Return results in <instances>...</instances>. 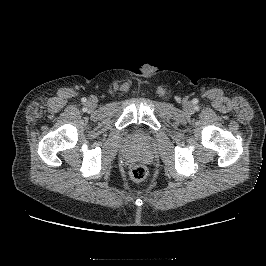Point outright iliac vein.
<instances>
[{"instance_id": "63e3f726", "label": "right iliac vein", "mask_w": 266, "mask_h": 266, "mask_svg": "<svg viewBox=\"0 0 266 266\" xmlns=\"http://www.w3.org/2000/svg\"><path fill=\"white\" fill-rule=\"evenodd\" d=\"M88 105H89V108H91V109L96 108V102L95 101H89Z\"/></svg>"}]
</instances>
